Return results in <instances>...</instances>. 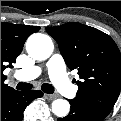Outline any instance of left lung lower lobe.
I'll return each mask as SVG.
<instances>
[{
  "mask_svg": "<svg viewBox=\"0 0 121 121\" xmlns=\"http://www.w3.org/2000/svg\"><path fill=\"white\" fill-rule=\"evenodd\" d=\"M71 110L68 116L58 118V121H103L106 116L83 106L79 101L69 100Z\"/></svg>",
  "mask_w": 121,
  "mask_h": 121,
  "instance_id": "1",
  "label": "left lung lower lobe"
}]
</instances>
